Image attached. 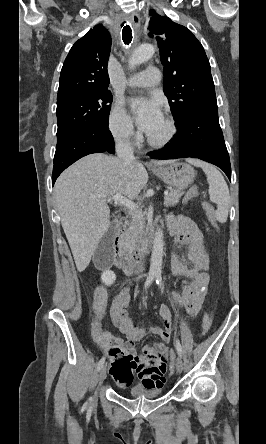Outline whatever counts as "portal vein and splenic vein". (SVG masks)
<instances>
[{"label": "portal vein and splenic vein", "mask_w": 266, "mask_h": 444, "mask_svg": "<svg viewBox=\"0 0 266 444\" xmlns=\"http://www.w3.org/2000/svg\"><path fill=\"white\" fill-rule=\"evenodd\" d=\"M167 195H168V191H165L164 196L166 197ZM108 200L109 201L113 200V201H115V203H119V204L127 207L130 211L134 212V214L137 216L143 215L142 211L139 209V206L136 205L130 199L124 197L121 193H117L113 196L108 197Z\"/></svg>", "instance_id": "1"}]
</instances>
